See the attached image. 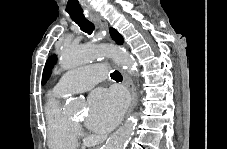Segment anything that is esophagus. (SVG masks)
<instances>
[{
    "label": "esophagus",
    "mask_w": 227,
    "mask_h": 149,
    "mask_svg": "<svg viewBox=\"0 0 227 149\" xmlns=\"http://www.w3.org/2000/svg\"><path fill=\"white\" fill-rule=\"evenodd\" d=\"M96 22H97L100 30L107 31V28H108L107 22L102 17L96 18ZM117 68L121 72V74L123 76L124 84L127 87V89L129 90L130 95H131V101H130V105L127 110V113L122 115L123 119H128V116L130 115V113L132 112V110L134 109V107L136 105V92H135L134 84H133L131 78L128 76V74L120 67L117 66Z\"/></svg>",
    "instance_id": "obj_1"
}]
</instances>
